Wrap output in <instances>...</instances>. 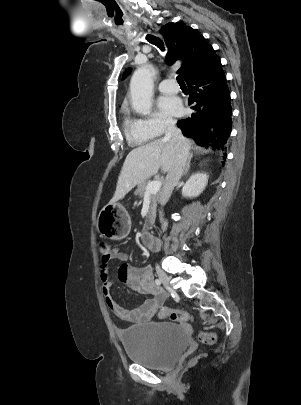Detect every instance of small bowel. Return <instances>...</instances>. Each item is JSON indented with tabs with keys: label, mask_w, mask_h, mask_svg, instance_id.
<instances>
[{
	"label": "small bowel",
	"mask_w": 301,
	"mask_h": 405,
	"mask_svg": "<svg viewBox=\"0 0 301 405\" xmlns=\"http://www.w3.org/2000/svg\"><path fill=\"white\" fill-rule=\"evenodd\" d=\"M110 260H119L121 262L117 271V278L120 282L127 284L140 294L150 295L151 298L135 309H127L120 305L111 293V283L109 281ZM100 279L102 293L107 305L119 318L131 323L151 320L167 296L162 289L154 285L152 270L149 266L135 267L127 263V254L119 249L111 250L106 257L102 256Z\"/></svg>",
	"instance_id": "small-bowel-1"
}]
</instances>
